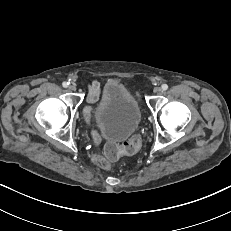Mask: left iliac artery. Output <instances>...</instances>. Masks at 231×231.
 I'll list each match as a JSON object with an SVG mask.
<instances>
[{"instance_id":"obj_1","label":"left iliac artery","mask_w":231,"mask_h":231,"mask_svg":"<svg viewBox=\"0 0 231 231\" xmlns=\"http://www.w3.org/2000/svg\"><path fill=\"white\" fill-rule=\"evenodd\" d=\"M161 87H162V90H164V91L168 89V85L167 84H163Z\"/></svg>"}]
</instances>
